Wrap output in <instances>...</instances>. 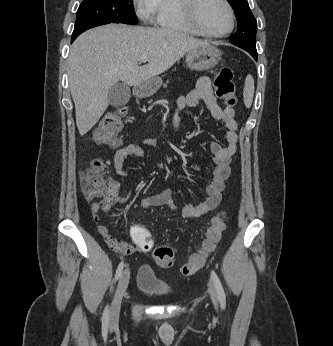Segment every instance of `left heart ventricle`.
Here are the masks:
<instances>
[{"label":"left heart ventricle","instance_id":"b2bd125f","mask_svg":"<svg viewBox=\"0 0 333 346\" xmlns=\"http://www.w3.org/2000/svg\"><path fill=\"white\" fill-rule=\"evenodd\" d=\"M198 18L204 29L211 33L224 32L230 23L228 11L221 0H202Z\"/></svg>","mask_w":333,"mask_h":346}]
</instances>
